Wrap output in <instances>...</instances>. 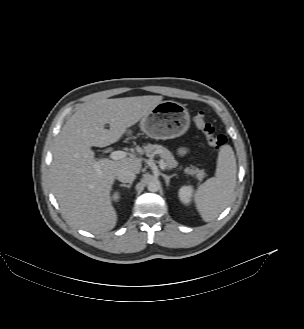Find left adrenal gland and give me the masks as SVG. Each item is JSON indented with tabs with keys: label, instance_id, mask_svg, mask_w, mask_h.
Returning <instances> with one entry per match:
<instances>
[{
	"label": "left adrenal gland",
	"instance_id": "1",
	"mask_svg": "<svg viewBox=\"0 0 304 329\" xmlns=\"http://www.w3.org/2000/svg\"><path fill=\"white\" fill-rule=\"evenodd\" d=\"M174 176H175V174H172V175H169V176H167L165 174H162V177L164 178L167 187L169 186L170 179L173 178Z\"/></svg>",
	"mask_w": 304,
	"mask_h": 329
}]
</instances>
